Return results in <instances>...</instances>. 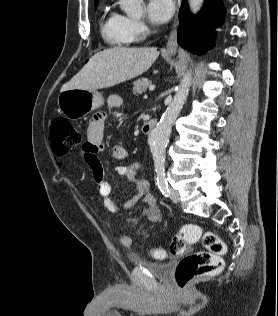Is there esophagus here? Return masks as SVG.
<instances>
[{
  "mask_svg": "<svg viewBox=\"0 0 278 316\" xmlns=\"http://www.w3.org/2000/svg\"><path fill=\"white\" fill-rule=\"evenodd\" d=\"M181 2L182 0H175L176 14L173 20V24L171 26V30H170L166 48H165L166 53L170 55L175 54L178 48V43H177V34H178V28H179L178 13H179Z\"/></svg>",
  "mask_w": 278,
  "mask_h": 316,
  "instance_id": "obj_1",
  "label": "esophagus"
}]
</instances>
